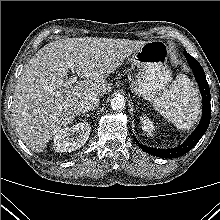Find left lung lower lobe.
<instances>
[{"instance_id":"1","label":"left lung lower lobe","mask_w":220,"mask_h":220,"mask_svg":"<svg viewBox=\"0 0 220 220\" xmlns=\"http://www.w3.org/2000/svg\"><path fill=\"white\" fill-rule=\"evenodd\" d=\"M184 55L189 63V66L194 72L195 79L199 85V89L202 95L203 100V109H202V118L198 127L192 132L188 139L179 147L173 149H155L147 147L140 144L135 138L136 143L144 150L145 152L150 153L151 155L162 157V158H176L186 154L190 151L201 139L203 134L206 132L211 118V104H210V89L207 83L205 73L202 66L199 62L184 51Z\"/></svg>"}]
</instances>
